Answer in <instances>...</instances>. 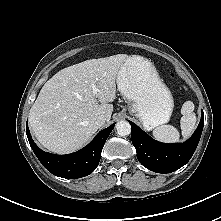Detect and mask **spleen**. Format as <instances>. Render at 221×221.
<instances>
[{
  "instance_id": "obj_1",
  "label": "spleen",
  "mask_w": 221,
  "mask_h": 221,
  "mask_svg": "<svg viewBox=\"0 0 221 221\" xmlns=\"http://www.w3.org/2000/svg\"><path fill=\"white\" fill-rule=\"evenodd\" d=\"M193 111L194 104L191 101H186L181 108V114L183 116L180 120V127L184 138H188L194 131L196 116ZM153 136L158 141L174 143L179 141L180 134L175 127L171 125H162L153 131Z\"/></svg>"
}]
</instances>
